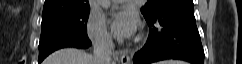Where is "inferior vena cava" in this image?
Segmentation results:
<instances>
[{"label": "inferior vena cava", "instance_id": "1", "mask_svg": "<svg viewBox=\"0 0 242 64\" xmlns=\"http://www.w3.org/2000/svg\"><path fill=\"white\" fill-rule=\"evenodd\" d=\"M113 50L114 44L108 35H102L97 38L94 42V59L96 64H110Z\"/></svg>", "mask_w": 242, "mask_h": 64}]
</instances>
